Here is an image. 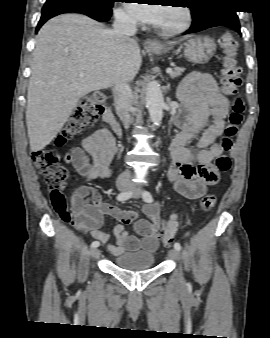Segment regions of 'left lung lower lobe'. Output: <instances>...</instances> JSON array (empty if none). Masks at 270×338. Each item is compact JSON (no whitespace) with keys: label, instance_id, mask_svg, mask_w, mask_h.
<instances>
[{"label":"left lung lower lobe","instance_id":"1","mask_svg":"<svg viewBox=\"0 0 270 338\" xmlns=\"http://www.w3.org/2000/svg\"><path fill=\"white\" fill-rule=\"evenodd\" d=\"M216 26L229 27L241 34L240 24L235 10H227L221 14L212 16L202 22L200 25L196 27H191L188 31L185 32V34L199 32L201 30Z\"/></svg>","mask_w":270,"mask_h":338}]
</instances>
